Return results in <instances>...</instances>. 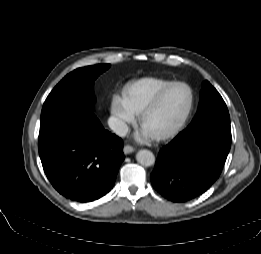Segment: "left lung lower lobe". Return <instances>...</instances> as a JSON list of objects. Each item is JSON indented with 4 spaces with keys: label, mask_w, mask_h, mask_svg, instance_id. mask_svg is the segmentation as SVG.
I'll return each mask as SVG.
<instances>
[{
    "label": "left lung lower lobe",
    "mask_w": 261,
    "mask_h": 254,
    "mask_svg": "<svg viewBox=\"0 0 261 254\" xmlns=\"http://www.w3.org/2000/svg\"><path fill=\"white\" fill-rule=\"evenodd\" d=\"M231 146V128L208 126L181 132L160 150L150 175L153 187L173 202L203 194L219 177Z\"/></svg>",
    "instance_id": "1"
}]
</instances>
